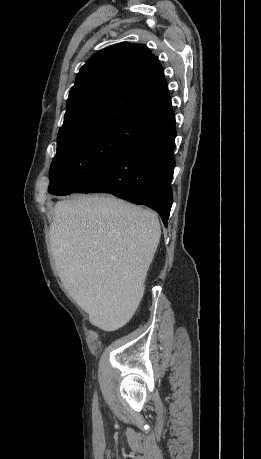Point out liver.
I'll list each match as a JSON object with an SVG mask.
<instances>
[{"label":"liver","mask_w":261,"mask_h":459,"mask_svg":"<svg viewBox=\"0 0 261 459\" xmlns=\"http://www.w3.org/2000/svg\"><path fill=\"white\" fill-rule=\"evenodd\" d=\"M49 237L58 275L90 323L121 327L160 241L157 215L112 196H75L55 204Z\"/></svg>","instance_id":"liver-1"}]
</instances>
